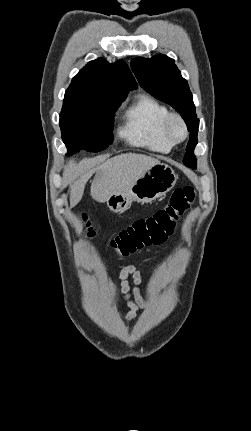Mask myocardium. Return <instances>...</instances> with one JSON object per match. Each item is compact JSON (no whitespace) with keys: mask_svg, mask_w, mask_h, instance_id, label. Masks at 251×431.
I'll list each match as a JSON object with an SVG mask.
<instances>
[{"mask_svg":"<svg viewBox=\"0 0 251 431\" xmlns=\"http://www.w3.org/2000/svg\"><path fill=\"white\" fill-rule=\"evenodd\" d=\"M179 124L183 130V135L181 137H177L174 134L173 126L174 124ZM163 131L167 139L173 144H178L186 140L189 134L188 126L185 119L176 112H169L165 117L163 123Z\"/></svg>","mask_w":251,"mask_h":431,"instance_id":"f54148a6","label":"myocardium"}]
</instances>
